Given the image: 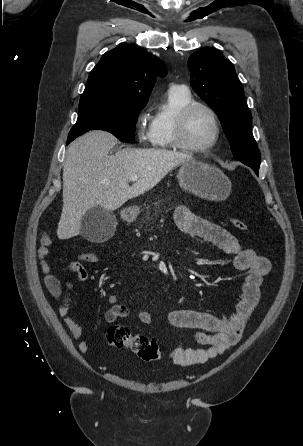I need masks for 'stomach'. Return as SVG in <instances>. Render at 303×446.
I'll use <instances>...</instances> for the list:
<instances>
[{"label":"stomach","mask_w":303,"mask_h":446,"mask_svg":"<svg viewBox=\"0 0 303 446\" xmlns=\"http://www.w3.org/2000/svg\"><path fill=\"white\" fill-rule=\"evenodd\" d=\"M177 178L185 190L210 201L226 200L232 189L230 179L220 169L194 159L180 165ZM138 213L139 207L133 206L125 209L122 217L132 221Z\"/></svg>","instance_id":"1"}]
</instances>
